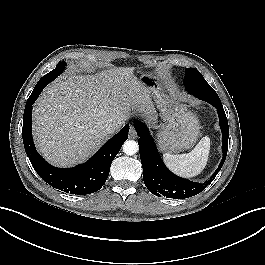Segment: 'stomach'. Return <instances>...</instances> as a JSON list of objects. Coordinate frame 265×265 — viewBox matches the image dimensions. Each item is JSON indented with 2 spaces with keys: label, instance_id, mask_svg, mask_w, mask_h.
<instances>
[{
  "label": "stomach",
  "instance_id": "obj_1",
  "mask_svg": "<svg viewBox=\"0 0 265 265\" xmlns=\"http://www.w3.org/2000/svg\"><path fill=\"white\" fill-rule=\"evenodd\" d=\"M138 80L145 86L163 120L157 134L159 148L164 152H180L192 146L200 136L197 117L172 99L154 74H142Z\"/></svg>",
  "mask_w": 265,
  "mask_h": 265
}]
</instances>
